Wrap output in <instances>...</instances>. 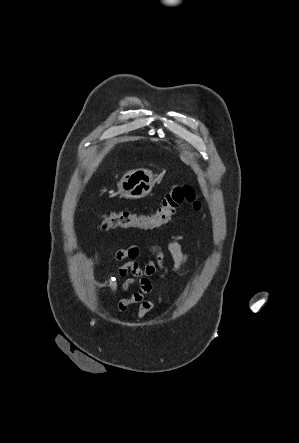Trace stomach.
<instances>
[{"label":"stomach","mask_w":299,"mask_h":443,"mask_svg":"<svg viewBox=\"0 0 299 443\" xmlns=\"http://www.w3.org/2000/svg\"><path fill=\"white\" fill-rule=\"evenodd\" d=\"M154 185L151 171L134 169L125 173L118 182V193L127 199H140L148 195Z\"/></svg>","instance_id":"obj_1"}]
</instances>
